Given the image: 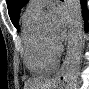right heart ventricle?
<instances>
[{
	"mask_svg": "<svg viewBox=\"0 0 89 89\" xmlns=\"http://www.w3.org/2000/svg\"><path fill=\"white\" fill-rule=\"evenodd\" d=\"M36 13L25 11L22 16V39L24 45V62L32 75L41 76L52 72L57 60L44 51L40 29L35 22Z\"/></svg>",
	"mask_w": 89,
	"mask_h": 89,
	"instance_id": "right-heart-ventricle-1",
	"label": "right heart ventricle"
}]
</instances>
